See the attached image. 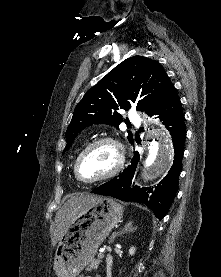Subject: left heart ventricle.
Returning <instances> with one entry per match:
<instances>
[{
  "mask_svg": "<svg viewBox=\"0 0 221 277\" xmlns=\"http://www.w3.org/2000/svg\"><path fill=\"white\" fill-rule=\"evenodd\" d=\"M116 163V151L110 144L91 149L81 160L79 172L84 179H94L109 172Z\"/></svg>",
  "mask_w": 221,
  "mask_h": 277,
  "instance_id": "1",
  "label": "left heart ventricle"
}]
</instances>
